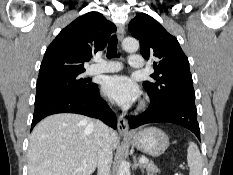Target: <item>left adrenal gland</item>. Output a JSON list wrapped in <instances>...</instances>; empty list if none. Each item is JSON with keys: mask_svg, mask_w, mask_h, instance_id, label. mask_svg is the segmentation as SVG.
<instances>
[{"mask_svg": "<svg viewBox=\"0 0 233 175\" xmlns=\"http://www.w3.org/2000/svg\"><path fill=\"white\" fill-rule=\"evenodd\" d=\"M133 168H140L141 172H142V173L144 172L143 166H142L141 164H139V163L137 162L136 159H135V161H134Z\"/></svg>", "mask_w": 233, "mask_h": 175, "instance_id": "a2214340", "label": "left adrenal gland"}]
</instances>
